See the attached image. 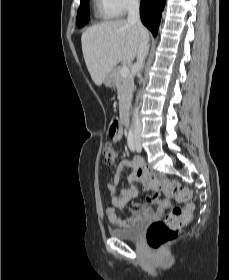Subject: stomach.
<instances>
[{"label": "stomach", "instance_id": "0dacf381", "mask_svg": "<svg viewBox=\"0 0 229 280\" xmlns=\"http://www.w3.org/2000/svg\"><path fill=\"white\" fill-rule=\"evenodd\" d=\"M115 70L110 71L104 78L103 84L108 87L111 88L115 85Z\"/></svg>", "mask_w": 229, "mask_h": 280}]
</instances>
